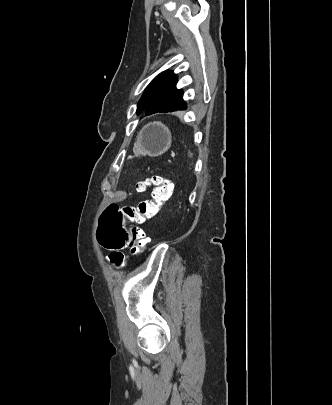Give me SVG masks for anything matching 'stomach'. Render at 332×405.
Returning <instances> with one entry per match:
<instances>
[{
  "label": "stomach",
  "mask_w": 332,
  "mask_h": 405,
  "mask_svg": "<svg viewBox=\"0 0 332 405\" xmlns=\"http://www.w3.org/2000/svg\"><path fill=\"white\" fill-rule=\"evenodd\" d=\"M170 144L169 130L161 123H150L139 133L134 151L137 155L157 157L164 154Z\"/></svg>",
  "instance_id": "0dacf381"
}]
</instances>
